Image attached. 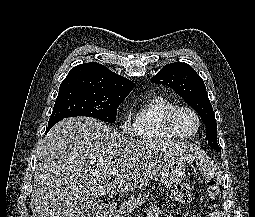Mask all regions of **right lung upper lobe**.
<instances>
[{
	"label": "right lung upper lobe",
	"instance_id": "1",
	"mask_svg": "<svg viewBox=\"0 0 255 217\" xmlns=\"http://www.w3.org/2000/svg\"><path fill=\"white\" fill-rule=\"evenodd\" d=\"M135 87L132 81L96 63H84L72 68L59 90L87 89L107 93H130Z\"/></svg>",
	"mask_w": 255,
	"mask_h": 217
}]
</instances>
